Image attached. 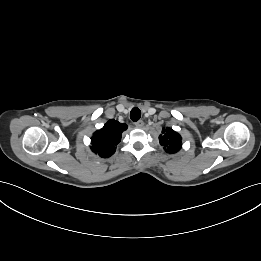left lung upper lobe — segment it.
Returning a JSON list of instances; mask_svg holds the SVG:
<instances>
[{"instance_id": "1", "label": "left lung upper lobe", "mask_w": 261, "mask_h": 261, "mask_svg": "<svg viewBox=\"0 0 261 261\" xmlns=\"http://www.w3.org/2000/svg\"><path fill=\"white\" fill-rule=\"evenodd\" d=\"M181 136L170 128H163L159 142L168 153H176L181 149Z\"/></svg>"}]
</instances>
